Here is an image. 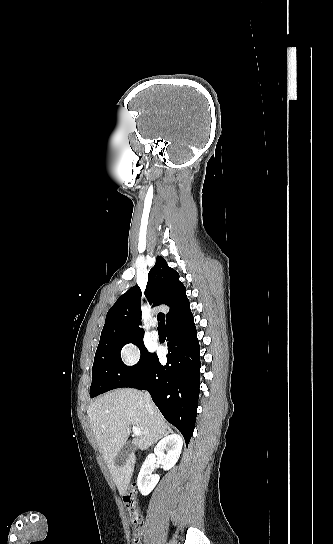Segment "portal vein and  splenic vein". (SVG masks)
I'll return each instance as SVG.
<instances>
[{
    "label": "portal vein and splenic vein",
    "instance_id": "portal-vein-and-splenic-vein-1",
    "mask_svg": "<svg viewBox=\"0 0 333 544\" xmlns=\"http://www.w3.org/2000/svg\"><path fill=\"white\" fill-rule=\"evenodd\" d=\"M132 430H133V434L135 436H140L141 435V430L138 427L133 425Z\"/></svg>",
    "mask_w": 333,
    "mask_h": 544
}]
</instances>
